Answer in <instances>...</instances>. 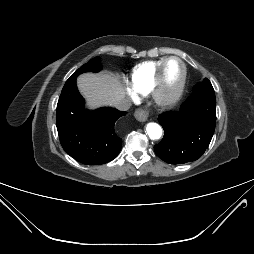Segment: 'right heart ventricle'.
<instances>
[{"instance_id": "obj_1", "label": "right heart ventricle", "mask_w": 254, "mask_h": 254, "mask_svg": "<svg viewBox=\"0 0 254 254\" xmlns=\"http://www.w3.org/2000/svg\"><path fill=\"white\" fill-rule=\"evenodd\" d=\"M164 58L153 61H146L136 65L130 77L133 90L139 94H147L150 92L156 72L163 62Z\"/></svg>"}]
</instances>
